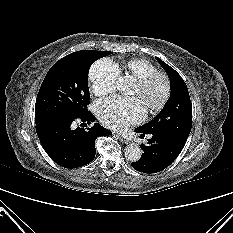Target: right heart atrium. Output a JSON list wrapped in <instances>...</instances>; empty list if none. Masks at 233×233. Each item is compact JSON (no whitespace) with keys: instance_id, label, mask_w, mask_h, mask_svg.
Returning a JSON list of instances; mask_svg holds the SVG:
<instances>
[{"instance_id":"d8ad5b80","label":"right heart atrium","mask_w":233,"mask_h":233,"mask_svg":"<svg viewBox=\"0 0 233 233\" xmlns=\"http://www.w3.org/2000/svg\"><path fill=\"white\" fill-rule=\"evenodd\" d=\"M119 76L117 65L108 58L99 59L92 64L89 70V80L95 95L104 96L112 93Z\"/></svg>"}]
</instances>
